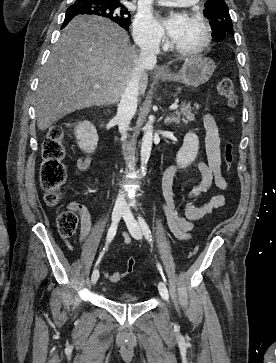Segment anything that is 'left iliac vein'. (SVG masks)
I'll list each match as a JSON object with an SVG mask.
<instances>
[{
    "label": "left iliac vein",
    "instance_id": "4c4485c4",
    "mask_svg": "<svg viewBox=\"0 0 276 363\" xmlns=\"http://www.w3.org/2000/svg\"><path fill=\"white\" fill-rule=\"evenodd\" d=\"M123 218L127 224L130 234L135 239L140 240L142 238V231L140 225L138 224L137 220L134 218L133 214L131 213L128 207H126L125 210L123 211ZM158 290L162 298L168 301L169 299L168 289L163 281L159 282Z\"/></svg>",
    "mask_w": 276,
    "mask_h": 363
}]
</instances>
